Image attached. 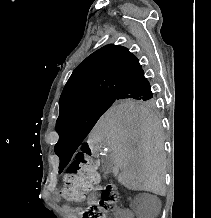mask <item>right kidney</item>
Here are the masks:
<instances>
[{
	"label": "right kidney",
	"mask_w": 211,
	"mask_h": 218,
	"mask_svg": "<svg viewBox=\"0 0 211 218\" xmlns=\"http://www.w3.org/2000/svg\"><path fill=\"white\" fill-rule=\"evenodd\" d=\"M113 214H117V218H123L126 214V209H122V206H117V209H113Z\"/></svg>",
	"instance_id": "1"
}]
</instances>
